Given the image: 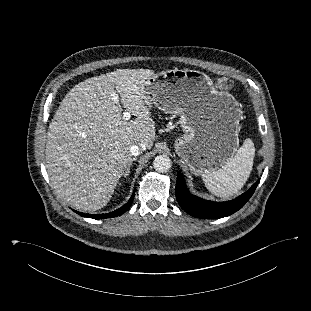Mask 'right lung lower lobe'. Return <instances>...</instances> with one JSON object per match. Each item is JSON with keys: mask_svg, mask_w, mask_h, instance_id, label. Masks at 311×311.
Returning a JSON list of instances; mask_svg holds the SVG:
<instances>
[{"mask_svg": "<svg viewBox=\"0 0 311 311\" xmlns=\"http://www.w3.org/2000/svg\"><path fill=\"white\" fill-rule=\"evenodd\" d=\"M134 195H135V192H133L131 198L129 199V201L124 206H122L121 208H119L113 212H110V213H106V214H84V213H81V212H78L75 210L74 211L76 213H78L80 216L93 218V219H105V218L116 217V216L122 215L124 212H126L129 209V207L131 206V204L133 202Z\"/></svg>", "mask_w": 311, "mask_h": 311, "instance_id": "obj_1", "label": "right lung lower lobe"}]
</instances>
